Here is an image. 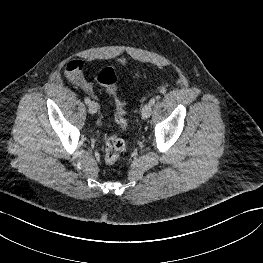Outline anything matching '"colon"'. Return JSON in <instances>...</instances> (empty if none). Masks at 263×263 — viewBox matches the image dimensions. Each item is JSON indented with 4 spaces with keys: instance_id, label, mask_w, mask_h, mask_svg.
<instances>
[{
    "instance_id": "obj_1",
    "label": "colon",
    "mask_w": 263,
    "mask_h": 263,
    "mask_svg": "<svg viewBox=\"0 0 263 263\" xmlns=\"http://www.w3.org/2000/svg\"><path fill=\"white\" fill-rule=\"evenodd\" d=\"M139 75L138 73L136 74ZM97 81L105 90L114 97L115 101V121L121 129L127 127L125 103L118 97V78L117 74L111 67L103 68L98 76ZM126 148L125 141L120 136H112L105 142L104 158L106 163L114 164L122 156Z\"/></svg>"
}]
</instances>
